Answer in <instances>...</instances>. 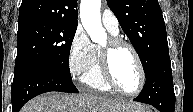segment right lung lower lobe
Segmentation results:
<instances>
[{
    "instance_id": "right-lung-lower-lobe-1",
    "label": "right lung lower lobe",
    "mask_w": 193,
    "mask_h": 112,
    "mask_svg": "<svg viewBox=\"0 0 193 112\" xmlns=\"http://www.w3.org/2000/svg\"><path fill=\"white\" fill-rule=\"evenodd\" d=\"M50 91L78 93L71 78L50 67L33 66L14 74L12 112H19L27 101Z\"/></svg>"
}]
</instances>
